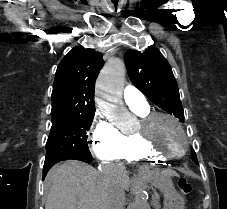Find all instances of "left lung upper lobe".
Wrapping results in <instances>:
<instances>
[{"label": "left lung upper lobe", "mask_w": 227, "mask_h": 209, "mask_svg": "<svg viewBox=\"0 0 227 209\" xmlns=\"http://www.w3.org/2000/svg\"><path fill=\"white\" fill-rule=\"evenodd\" d=\"M124 60L132 83L158 107L183 122L184 112L177 82L168 61L160 51L154 47L143 53L128 50ZM191 158L198 164L194 150Z\"/></svg>", "instance_id": "obj_1"}]
</instances>
